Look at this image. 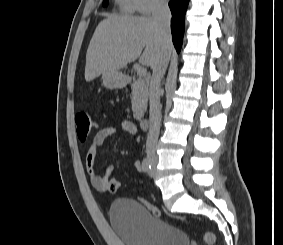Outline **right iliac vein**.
Listing matches in <instances>:
<instances>
[{
	"instance_id": "obj_1",
	"label": "right iliac vein",
	"mask_w": 283,
	"mask_h": 245,
	"mask_svg": "<svg viewBox=\"0 0 283 245\" xmlns=\"http://www.w3.org/2000/svg\"><path fill=\"white\" fill-rule=\"evenodd\" d=\"M148 161H149V163H150L151 165H154V164H155V159L152 158V157H150V158L148 159Z\"/></svg>"
}]
</instances>
